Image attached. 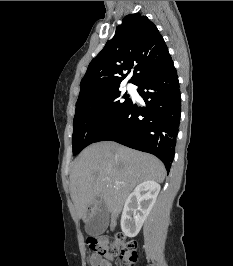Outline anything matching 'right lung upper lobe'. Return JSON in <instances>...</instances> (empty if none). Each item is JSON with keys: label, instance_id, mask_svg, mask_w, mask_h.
<instances>
[{"label": "right lung upper lobe", "instance_id": "1", "mask_svg": "<svg viewBox=\"0 0 233 266\" xmlns=\"http://www.w3.org/2000/svg\"><path fill=\"white\" fill-rule=\"evenodd\" d=\"M170 57L157 27L146 16L130 14L116 28L114 37L91 61L80 84L78 100L103 91L118 89L127 74L139 84L148 74L162 66Z\"/></svg>", "mask_w": 233, "mask_h": 266}]
</instances>
